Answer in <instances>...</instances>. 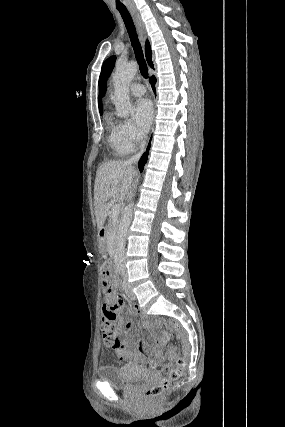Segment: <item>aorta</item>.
<instances>
[{"label":"aorta","mask_w":285,"mask_h":427,"mask_svg":"<svg viewBox=\"0 0 285 427\" xmlns=\"http://www.w3.org/2000/svg\"><path fill=\"white\" fill-rule=\"evenodd\" d=\"M137 69L138 65L134 61L118 63L116 66L113 76L114 93L112 100L120 117L128 116L133 109L129 98V84L135 77ZM132 214L133 203H130L124 210L116 237L114 261L118 269H124V248Z\"/></svg>","instance_id":"1"}]
</instances>
